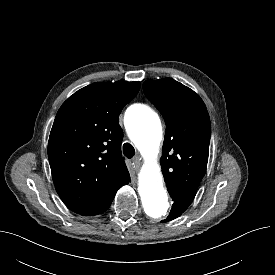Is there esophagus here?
Masks as SVG:
<instances>
[{
    "instance_id": "1",
    "label": "esophagus",
    "mask_w": 275,
    "mask_h": 275,
    "mask_svg": "<svg viewBox=\"0 0 275 275\" xmlns=\"http://www.w3.org/2000/svg\"><path fill=\"white\" fill-rule=\"evenodd\" d=\"M132 161L137 168L140 167V165L142 164L141 157L139 156L134 157Z\"/></svg>"
}]
</instances>
